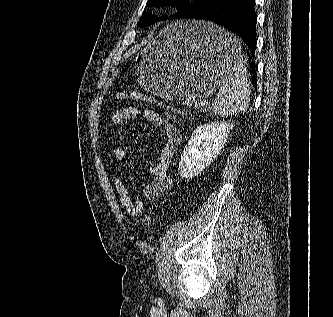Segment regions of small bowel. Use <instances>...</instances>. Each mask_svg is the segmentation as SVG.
I'll return each mask as SVG.
<instances>
[{
	"label": "small bowel",
	"mask_w": 333,
	"mask_h": 317,
	"mask_svg": "<svg viewBox=\"0 0 333 317\" xmlns=\"http://www.w3.org/2000/svg\"><path fill=\"white\" fill-rule=\"evenodd\" d=\"M141 112V109L137 106L121 108L113 113L111 123L114 126L121 127L131 119L139 116ZM143 113L152 124L162 131L164 137V144L160 154L156 162L150 167L152 179L143 188V196L145 199L156 200L172 185L168 168L180 143L181 135L179 130L159 113L149 109L144 110ZM112 153L118 164H122L125 161L126 152L122 147H114ZM112 182L122 207L130 216L137 217L145 211V202L140 198L131 196L128 187L119 175L114 174Z\"/></svg>",
	"instance_id": "small-bowel-1"
}]
</instances>
